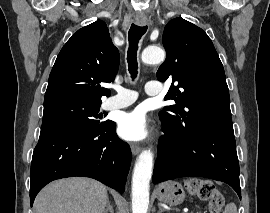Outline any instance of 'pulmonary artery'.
<instances>
[{"label": "pulmonary artery", "instance_id": "obj_1", "mask_svg": "<svg viewBox=\"0 0 270 213\" xmlns=\"http://www.w3.org/2000/svg\"><path fill=\"white\" fill-rule=\"evenodd\" d=\"M116 91L117 94L110 97L105 102V109L113 110L124 108L134 103L138 98L135 91L123 87H117ZM145 91L149 96L158 95L161 92V83L158 81H149L145 86Z\"/></svg>", "mask_w": 270, "mask_h": 213}]
</instances>
